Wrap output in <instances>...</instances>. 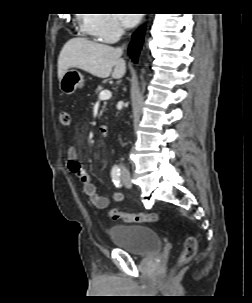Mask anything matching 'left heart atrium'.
Here are the masks:
<instances>
[{"label":"left heart atrium","mask_w":252,"mask_h":303,"mask_svg":"<svg viewBox=\"0 0 252 303\" xmlns=\"http://www.w3.org/2000/svg\"><path fill=\"white\" fill-rule=\"evenodd\" d=\"M121 23L126 27H133L140 19L139 14H118Z\"/></svg>","instance_id":"obj_1"}]
</instances>
